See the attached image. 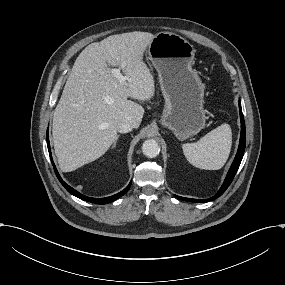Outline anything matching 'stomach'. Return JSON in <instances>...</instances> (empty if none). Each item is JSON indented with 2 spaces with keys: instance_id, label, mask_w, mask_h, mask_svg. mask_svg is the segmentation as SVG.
Segmentation results:
<instances>
[{
  "instance_id": "0dacf381",
  "label": "stomach",
  "mask_w": 285,
  "mask_h": 285,
  "mask_svg": "<svg viewBox=\"0 0 285 285\" xmlns=\"http://www.w3.org/2000/svg\"><path fill=\"white\" fill-rule=\"evenodd\" d=\"M149 59L165 99L160 124L184 141L203 129L204 85L193 69L195 50L179 35L160 32L149 44Z\"/></svg>"
}]
</instances>
